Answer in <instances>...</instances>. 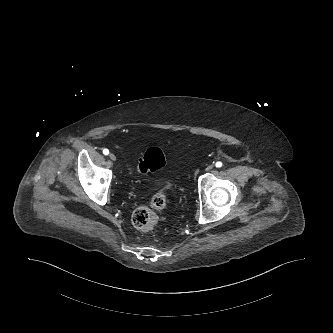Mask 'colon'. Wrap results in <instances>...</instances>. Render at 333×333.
I'll return each mask as SVG.
<instances>
[{"label": "colon", "mask_w": 333, "mask_h": 333, "mask_svg": "<svg viewBox=\"0 0 333 333\" xmlns=\"http://www.w3.org/2000/svg\"><path fill=\"white\" fill-rule=\"evenodd\" d=\"M165 165V155L157 147L149 148L143 157L139 160L137 171L140 174L157 171ZM171 186H167V189ZM166 206V195L164 191L156 193L150 202V206H141L137 208L132 215L134 226L141 231L152 230L158 221L157 213Z\"/></svg>", "instance_id": "colon-1"}]
</instances>
